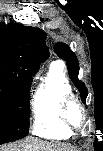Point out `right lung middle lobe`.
I'll list each match as a JSON object with an SVG mask.
<instances>
[{
  "instance_id": "dd1d6c3e",
  "label": "right lung middle lobe",
  "mask_w": 103,
  "mask_h": 151,
  "mask_svg": "<svg viewBox=\"0 0 103 151\" xmlns=\"http://www.w3.org/2000/svg\"><path fill=\"white\" fill-rule=\"evenodd\" d=\"M31 83L0 75V144L28 135Z\"/></svg>"
}]
</instances>
